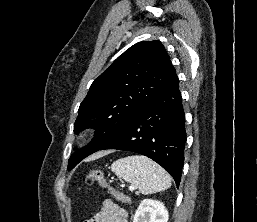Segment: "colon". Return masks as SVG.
Wrapping results in <instances>:
<instances>
[{
	"label": "colon",
	"mask_w": 257,
	"mask_h": 222,
	"mask_svg": "<svg viewBox=\"0 0 257 222\" xmlns=\"http://www.w3.org/2000/svg\"><path fill=\"white\" fill-rule=\"evenodd\" d=\"M98 182L102 187L109 189L113 196L121 202H127L128 197L121 191L115 189L105 178L104 174L100 170H90L86 175V183L88 185Z\"/></svg>",
	"instance_id": "1"
}]
</instances>
